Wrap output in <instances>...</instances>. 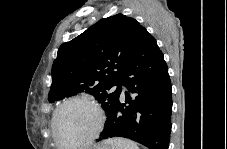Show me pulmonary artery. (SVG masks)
Here are the masks:
<instances>
[{"label":"pulmonary artery","mask_w":227,"mask_h":149,"mask_svg":"<svg viewBox=\"0 0 227 149\" xmlns=\"http://www.w3.org/2000/svg\"><path fill=\"white\" fill-rule=\"evenodd\" d=\"M123 91H126V88L125 87H123Z\"/></svg>","instance_id":"1"}]
</instances>
